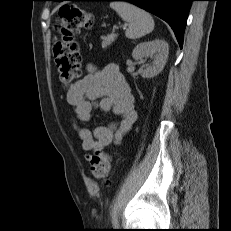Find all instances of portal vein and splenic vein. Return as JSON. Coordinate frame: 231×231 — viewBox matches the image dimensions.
<instances>
[{
	"label": "portal vein and splenic vein",
	"mask_w": 231,
	"mask_h": 231,
	"mask_svg": "<svg viewBox=\"0 0 231 231\" xmlns=\"http://www.w3.org/2000/svg\"><path fill=\"white\" fill-rule=\"evenodd\" d=\"M127 25H124L123 28L126 29ZM116 29H119V27H116Z\"/></svg>",
	"instance_id": "portal-vein-and-splenic-vein-1"
}]
</instances>
